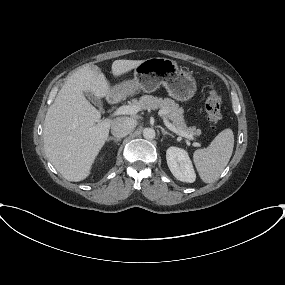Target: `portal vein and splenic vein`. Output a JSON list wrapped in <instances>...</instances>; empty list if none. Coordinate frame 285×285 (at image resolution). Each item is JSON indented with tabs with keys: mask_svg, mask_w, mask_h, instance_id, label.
<instances>
[{
	"mask_svg": "<svg viewBox=\"0 0 285 285\" xmlns=\"http://www.w3.org/2000/svg\"><path fill=\"white\" fill-rule=\"evenodd\" d=\"M141 110L140 106L138 105H125V106H121L119 107L114 114L115 115H132V114H136L137 112H139ZM160 116L164 122V124L166 125V127L171 130L172 132L176 133L177 135H180L182 137H185L187 139L193 140L194 137L180 129H177L172 123L169 122V120L163 115V112H160Z\"/></svg>",
	"mask_w": 285,
	"mask_h": 285,
	"instance_id": "1",
	"label": "portal vein and splenic vein"
}]
</instances>
